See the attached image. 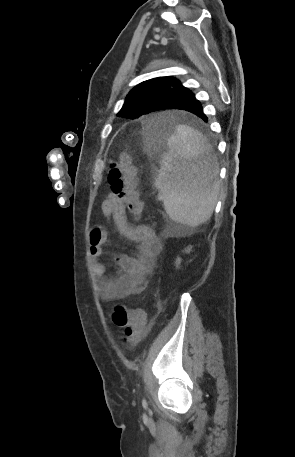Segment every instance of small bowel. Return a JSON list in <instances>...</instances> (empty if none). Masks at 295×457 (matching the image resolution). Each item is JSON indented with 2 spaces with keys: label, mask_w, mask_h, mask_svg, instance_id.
<instances>
[{
  "label": "small bowel",
  "mask_w": 295,
  "mask_h": 457,
  "mask_svg": "<svg viewBox=\"0 0 295 457\" xmlns=\"http://www.w3.org/2000/svg\"><path fill=\"white\" fill-rule=\"evenodd\" d=\"M101 212L112 218L119 231L137 243V254H119L115 261L119 266L116 279L106 277L107 268L102 261L107 232L101 226H93L89 233L93 271L100 278V292L105 301L126 300L144 291L146 278L153 271L156 257L161 252V242L148 225L132 226L128 223L126 210L118 198L110 192L101 204Z\"/></svg>",
  "instance_id": "obj_1"
}]
</instances>
